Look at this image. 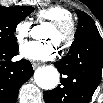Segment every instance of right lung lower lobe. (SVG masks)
<instances>
[{"instance_id":"obj_1","label":"right lung lower lobe","mask_w":103,"mask_h":103,"mask_svg":"<svg viewBox=\"0 0 103 103\" xmlns=\"http://www.w3.org/2000/svg\"><path fill=\"white\" fill-rule=\"evenodd\" d=\"M19 48H0V103H15L20 87L32 76L33 68L28 60L12 62Z\"/></svg>"}]
</instances>
